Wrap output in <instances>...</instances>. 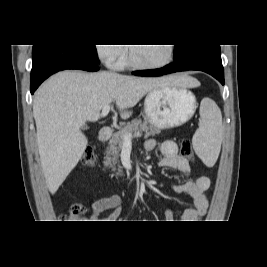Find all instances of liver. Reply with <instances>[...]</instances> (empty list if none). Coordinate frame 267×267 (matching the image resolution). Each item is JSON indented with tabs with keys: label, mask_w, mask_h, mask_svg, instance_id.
I'll return each mask as SVG.
<instances>
[{
	"label": "liver",
	"mask_w": 267,
	"mask_h": 267,
	"mask_svg": "<svg viewBox=\"0 0 267 267\" xmlns=\"http://www.w3.org/2000/svg\"><path fill=\"white\" fill-rule=\"evenodd\" d=\"M198 87L186 75L160 78L125 76L101 71H62L50 77L35 93L33 116L37 144L47 187L55 194L81 159L87 138L81 132L86 121L96 122L100 111L116 102L123 119L151 90L165 86Z\"/></svg>",
	"instance_id": "obj_1"
}]
</instances>
